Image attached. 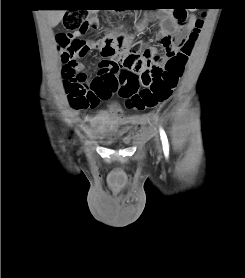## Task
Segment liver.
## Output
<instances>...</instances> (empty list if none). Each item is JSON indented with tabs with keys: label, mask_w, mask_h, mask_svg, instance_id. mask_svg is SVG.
I'll return each mask as SVG.
<instances>
[{
	"label": "liver",
	"mask_w": 245,
	"mask_h": 278,
	"mask_svg": "<svg viewBox=\"0 0 245 278\" xmlns=\"http://www.w3.org/2000/svg\"><path fill=\"white\" fill-rule=\"evenodd\" d=\"M66 10H46V18L50 27L57 26L63 19Z\"/></svg>",
	"instance_id": "1"
}]
</instances>
